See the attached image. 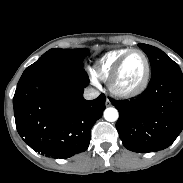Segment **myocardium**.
Returning a JSON list of instances; mask_svg holds the SVG:
<instances>
[{"label":"myocardium","mask_w":183,"mask_h":183,"mask_svg":"<svg viewBox=\"0 0 183 183\" xmlns=\"http://www.w3.org/2000/svg\"><path fill=\"white\" fill-rule=\"evenodd\" d=\"M132 53H138L143 58L144 65H145L144 74H143L140 82L137 85H135L134 87L122 88L117 83L118 77H119V74L121 72V69L123 67L125 60ZM150 74H151V68H150V62H149L147 55L140 49L132 48V49H129L117 61V63L113 67V69L107 79L108 88L113 95H115L119 98H123V99L132 98V97L138 96L146 89L149 79H150Z\"/></svg>","instance_id":"obj_1"}]
</instances>
